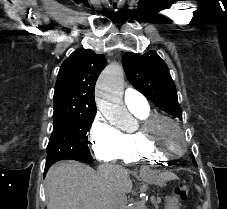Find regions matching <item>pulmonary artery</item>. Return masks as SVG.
<instances>
[{
  "label": "pulmonary artery",
  "instance_id": "obj_1",
  "mask_svg": "<svg viewBox=\"0 0 227 209\" xmlns=\"http://www.w3.org/2000/svg\"><path fill=\"white\" fill-rule=\"evenodd\" d=\"M124 102L130 108H146L148 106L146 95H141L138 88H127V91L124 92Z\"/></svg>",
  "mask_w": 227,
  "mask_h": 209
}]
</instances>
